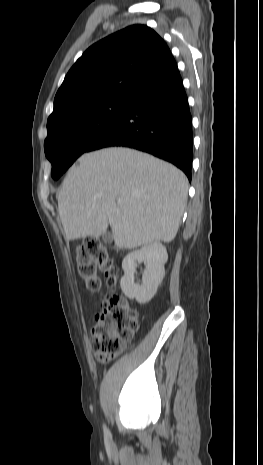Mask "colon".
<instances>
[{
  "instance_id": "5ec220e1",
  "label": "colon",
  "mask_w": 263,
  "mask_h": 465,
  "mask_svg": "<svg viewBox=\"0 0 263 465\" xmlns=\"http://www.w3.org/2000/svg\"><path fill=\"white\" fill-rule=\"evenodd\" d=\"M76 262L79 275L91 292L101 288L99 271L104 274L107 287L117 285V267L101 240L85 239L76 249ZM138 327L137 313L125 298L118 294L106 295L91 329V347L97 360L106 363L117 356L134 339Z\"/></svg>"
}]
</instances>
